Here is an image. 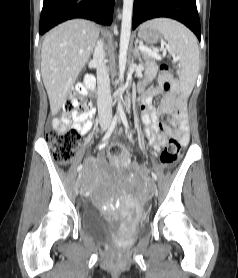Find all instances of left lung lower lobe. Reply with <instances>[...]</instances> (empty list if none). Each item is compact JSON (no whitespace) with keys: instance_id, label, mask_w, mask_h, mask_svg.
<instances>
[{"instance_id":"obj_1","label":"left lung lower lobe","mask_w":238,"mask_h":278,"mask_svg":"<svg viewBox=\"0 0 238 278\" xmlns=\"http://www.w3.org/2000/svg\"><path fill=\"white\" fill-rule=\"evenodd\" d=\"M158 17H168L182 22L200 40L201 29L196 0H134L133 29L146 20Z\"/></svg>"}]
</instances>
